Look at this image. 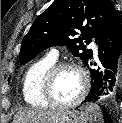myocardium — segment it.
Listing matches in <instances>:
<instances>
[{
	"label": "myocardium",
	"instance_id": "f54148a6",
	"mask_svg": "<svg viewBox=\"0 0 122 123\" xmlns=\"http://www.w3.org/2000/svg\"><path fill=\"white\" fill-rule=\"evenodd\" d=\"M63 69L76 70L80 74L82 79V86H81V90L79 94L74 99L68 102H59L55 100V98L52 95V86H53L55 77ZM88 88H89V79L86 72L81 66L71 62H61V63L54 64L45 74V77L42 83V96L44 100L50 106L60 107V108H69V107H73L77 105L84 99L88 91Z\"/></svg>",
	"mask_w": 122,
	"mask_h": 123
}]
</instances>
